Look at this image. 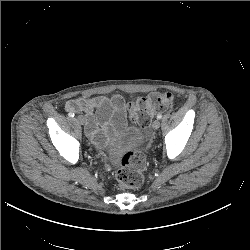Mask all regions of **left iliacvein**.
Returning a JSON list of instances; mask_svg holds the SVG:
<instances>
[{
	"label": "left iliac vein",
	"mask_w": 250,
	"mask_h": 250,
	"mask_svg": "<svg viewBox=\"0 0 250 250\" xmlns=\"http://www.w3.org/2000/svg\"><path fill=\"white\" fill-rule=\"evenodd\" d=\"M160 127V121L159 120H155L153 123H152V128L153 129H158Z\"/></svg>",
	"instance_id": "left-iliac-vein-1"
}]
</instances>
